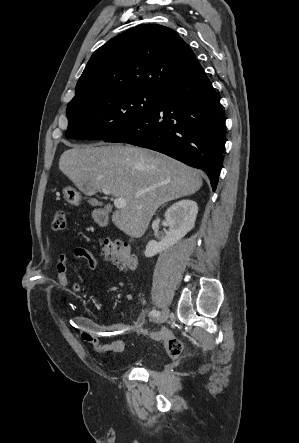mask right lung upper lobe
Returning a JSON list of instances; mask_svg holds the SVG:
<instances>
[{
	"mask_svg": "<svg viewBox=\"0 0 299 443\" xmlns=\"http://www.w3.org/2000/svg\"><path fill=\"white\" fill-rule=\"evenodd\" d=\"M202 70L194 52L175 31L142 24L93 53L69 104L111 91L158 92Z\"/></svg>",
	"mask_w": 299,
	"mask_h": 443,
	"instance_id": "right-lung-upper-lobe-1",
	"label": "right lung upper lobe"
}]
</instances>
